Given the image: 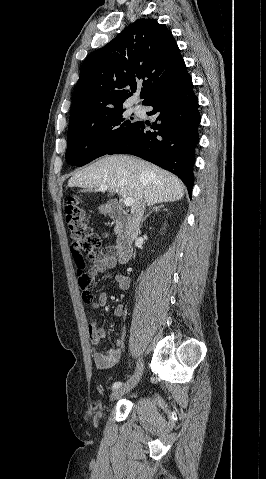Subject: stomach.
<instances>
[{"mask_svg":"<svg viewBox=\"0 0 266 479\" xmlns=\"http://www.w3.org/2000/svg\"><path fill=\"white\" fill-rule=\"evenodd\" d=\"M100 211H101L102 213H106V212L109 211V207H108V206H102V207H100Z\"/></svg>","mask_w":266,"mask_h":479,"instance_id":"obj_1","label":"stomach"}]
</instances>
